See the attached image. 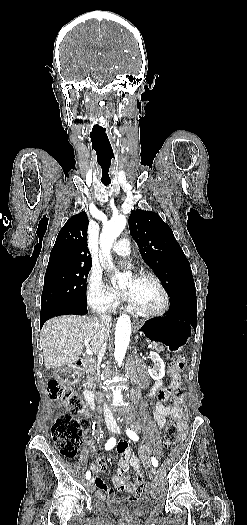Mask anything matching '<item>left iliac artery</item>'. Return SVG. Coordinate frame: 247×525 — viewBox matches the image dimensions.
Instances as JSON below:
<instances>
[{
    "label": "left iliac artery",
    "mask_w": 247,
    "mask_h": 525,
    "mask_svg": "<svg viewBox=\"0 0 247 525\" xmlns=\"http://www.w3.org/2000/svg\"><path fill=\"white\" fill-rule=\"evenodd\" d=\"M126 433H127L128 437L131 440H133V441H138L139 440L138 435L134 431H132L131 429L127 428L126 429ZM151 461H152V464H153L154 467L158 466V461L156 460V458L152 457Z\"/></svg>",
    "instance_id": "44dca946"
}]
</instances>
